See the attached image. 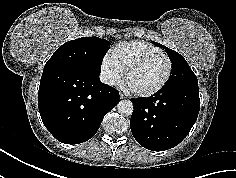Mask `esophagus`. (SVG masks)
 Listing matches in <instances>:
<instances>
[{
  "mask_svg": "<svg viewBox=\"0 0 236 178\" xmlns=\"http://www.w3.org/2000/svg\"><path fill=\"white\" fill-rule=\"evenodd\" d=\"M119 97H120V99H124L125 95L123 93H119Z\"/></svg>",
  "mask_w": 236,
  "mask_h": 178,
  "instance_id": "1",
  "label": "esophagus"
}]
</instances>
